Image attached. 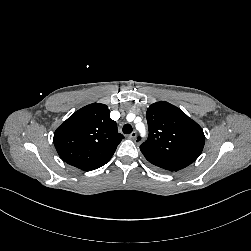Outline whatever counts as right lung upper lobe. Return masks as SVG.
<instances>
[{
	"label": "right lung upper lobe",
	"instance_id": "right-lung-upper-lobe-1",
	"mask_svg": "<svg viewBox=\"0 0 251 251\" xmlns=\"http://www.w3.org/2000/svg\"><path fill=\"white\" fill-rule=\"evenodd\" d=\"M123 138L107 105L94 103L76 111L56 129L54 145L66 163L91 171L111 159Z\"/></svg>",
	"mask_w": 251,
	"mask_h": 251
}]
</instances>
